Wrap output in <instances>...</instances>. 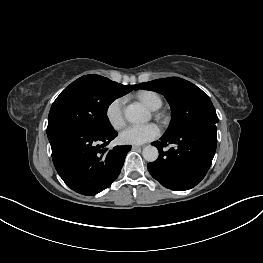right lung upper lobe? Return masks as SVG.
I'll list each match as a JSON object with an SVG mask.
<instances>
[{
  "mask_svg": "<svg viewBox=\"0 0 263 263\" xmlns=\"http://www.w3.org/2000/svg\"><path fill=\"white\" fill-rule=\"evenodd\" d=\"M82 77H95V78L101 79V80L107 82L108 84H110L111 86H113L116 90L123 93L124 95L129 93L130 91H132L136 86V85H122V84H119L117 82L111 81L105 77L95 75V74L85 75Z\"/></svg>",
  "mask_w": 263,
  "mask_h": 263,
  "instance_id": "cb5924a9",
  "label": "right lung upper lobe"
}]
</instances>
